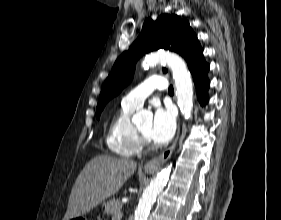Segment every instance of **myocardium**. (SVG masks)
<instances>
[{"label": "myocardium", "instance_id": "obj_1", "mask_svg": "<svg viewBox=\"0 0 281 220\" xmlns=\"http://www.w3.org/2000/svg\"><path fill=\"white\" fill-rule=\"evenodd\" d=\"M136 134L141 146H145L147 148L152 147L150 140L145 135H143L138 128H136Z\"/></svg>", "mask_w": 281, "mask_h": 220}]
</instances>
